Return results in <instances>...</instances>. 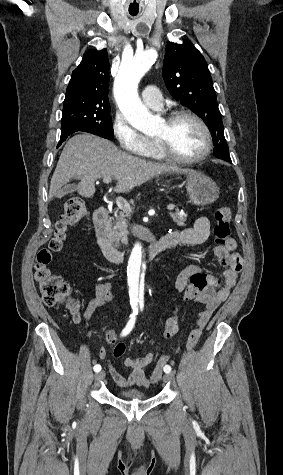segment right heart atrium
<instances>
[{
  "mask_svg": "<svg viewBox=\"0 0 283 475\" xmlns=\"http://www.w3.org/2000/svg\"><path fill=\"white\" fill-rule=\"evenodd\" d=\"M111 131L117 139V150L123 155H143L144 158L149 154L151 141L139 133L120 112L113 117Z\"/></svg>",
  "mask_w": 283,
  "mask_h": 475,
  "instance_id": "right-heart-atrium-1",
  "label": "right heart atrium"
}]
</instances>
